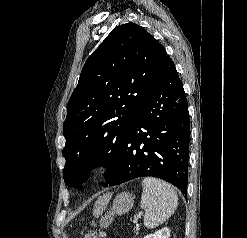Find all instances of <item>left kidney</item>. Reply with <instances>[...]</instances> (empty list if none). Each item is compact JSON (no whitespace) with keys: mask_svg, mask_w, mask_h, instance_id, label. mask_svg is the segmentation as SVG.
<instances>
[{"mask_svg":"<svg viewBox=\"0 0 247 238\" xmlns=\"http://www.w3.org/2000/svg\"><path fill=\"white\" fill-rule=\"evenodd\" d=\"M169 236H170V230L169 228L165 227L156 231L153 234L145 236L144 238H169Z\"/></svg>","mask_w":247,"mask_h":238,"instance_id":"5707ae66","label":"left kidney"}]
</instances>
